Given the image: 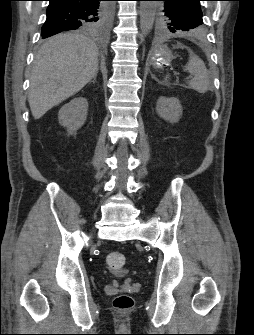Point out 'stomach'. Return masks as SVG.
Returning <instances> with one entry per match:
<instances>
[{
  "instance_id": "1",
  "label": "stomach",
  "mask_w": 254,
  "mask_h": 335,
  "mask_svg": "<svg viewBox=\"0 0 254 335\" xmlns=\"http://www.w3.org/2000/svg\"><path fill=\"white\" fill-rule=\"evenodd\" d=\"M172 52L167 47H162L151 57L152 64L157 68L169 66L173 60Z\"/></svg>"
}]
</instances>
